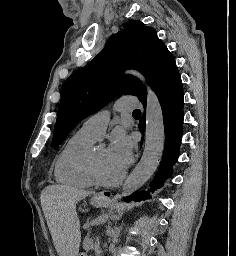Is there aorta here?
Instances as JSON below:
<instances>
[{
    "instance_id": "762f6f07",
    "label": "aorta",
    "mask_w": 236,
    "mask_h": 256,
    "mask_svg": "<svg viewBox=\"0 0 236 256\" xmlns=\"http://www.w3.org/2000/svg\"><path fill=\"white\" fill-rule=\"evenodd\" d=\"M132 73L144 83L147 89L145 146L139 163L127 177L118 198L131 195L149 180L156 171L164 150V121L159 100L146 83L144 76L136 71Z\"/></svg>"
}]
</instances>
